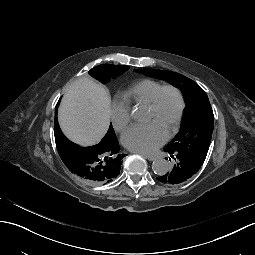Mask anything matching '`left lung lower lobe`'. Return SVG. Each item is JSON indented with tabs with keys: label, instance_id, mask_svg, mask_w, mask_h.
<instances>
[{
	"label": "left lung lower lobe",
	"instance_id": "0a47b994",
	"mask_svg": "<svg viewBox=\"0 0 255 255\" xmlns=\"http://www.w3.org/2000/svg\"><path fill=\"white\" fill-rule=\"evenodd\" d=\"M165 150V149H164ZM166 155L175 164L174 169L165 175H160L157 181L161 184H182L199 173L193 161L188 160L181 152L165 150ZM174 154V155H173Z\"/></svg>",
	"mask_w": 255,
	"mask_h": 255
}]
</instances>
